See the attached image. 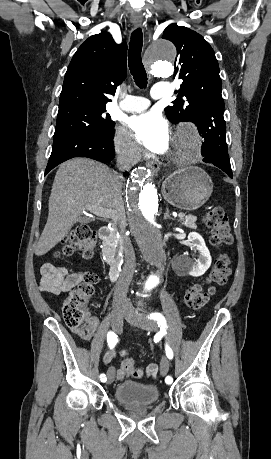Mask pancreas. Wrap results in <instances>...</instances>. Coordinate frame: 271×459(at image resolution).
Instances as JSON below:
<instances>
[{
  "label": "pancreas",
  "mask_w": 271,
  "mask_h": 459,
  "mask_svg": "<svg viewBox=\"0 0 271 459\" xmlns=\"http://www.w3.org/2000/svg\"><path fill=\"white\" fill-rule=\"evenodd\" d=\"M179 218H180V222H182L183 226H186V228H193V229L197 228L195 224L197 220L196 216H190V214L189 216H186V214H184V217H179ZM116 245H118V243H116Z\"/></svg>",
  "instance_id": "obj_1"
}]
</instances>
